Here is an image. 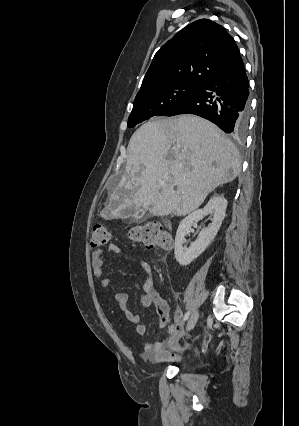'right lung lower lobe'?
<instances>
[{"label": "right lung lower lobe", "instance_id": "right-lung-lower-lobe-1", "mask_svg": "<svg viewBox=\"0 0 299 426\" xmlns=\"http://www.w3.org/2000/svg\"><path fill=\"white\" fill-rule=\"evenodd\" d=\"M248 96L249 82L239 56L164 116L195 114L215 123L226 133L241 136L248 124Z\"/></svg>", "mask_w": 299, "mask_h": 426}]
</instances>
